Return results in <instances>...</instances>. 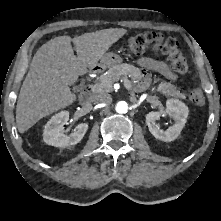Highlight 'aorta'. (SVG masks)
<instances>
[{"mask_svg": "<svg viewBox=\"0 0 221 221\" xmlns=\"http://www.w3.org/2000/svg\"><path fill=\"white\" fill-rule=\"evenodd\" d=\"M116 112L120 113V114H124L127 113L128 111V104L125 101H119L116 104Z\"/></svg>", "mask_w": 221, "mask_h": 221, "instance_id": "1", "label": "aorta"}]
</instances>
